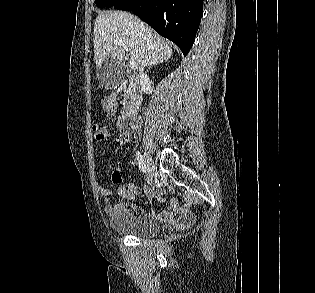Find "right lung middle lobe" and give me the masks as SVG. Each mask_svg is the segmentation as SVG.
I'll use <instances>...</instances> for the list:
<instances>
[{
	"label": "right lung middle lobe",
	"mask_w": 315,
	"mask_h": 293,
	"mask_svg": "<svg viewBox=\"0 0 315 293\" xmlns=\"http://www.w3.org/2000/svg\"><path fill=\"white\" fill-rule=\"evenodd\" d=\"M122 0H95V3L98 7H111L116 6L119 4Z\"/></svg>",
	"instance_id": "obj_1"
}]
</instances>
